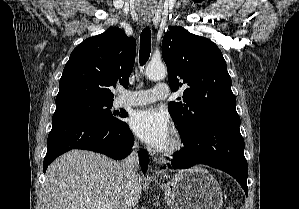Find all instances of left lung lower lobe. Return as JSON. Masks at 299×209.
<instances>
[{"label": "left lung lower lobe", "instance_id": "0a47b994", "mask_svg": "<svg viewBox=\"0 0 299 209\" xmlns=\"http://www.w3.org/2000/svg\"><path fill=\"white\" fill-rule=\"evenodd\" d=\"M240 117L236 111L215 115L197 131L181 137L184 150L175 154L173 169L205 164L233 176L248 194V166L244 157V140L240 134Z\"/></svg>", "mask_w": 299, "mask_h": 209}]
</instances>
